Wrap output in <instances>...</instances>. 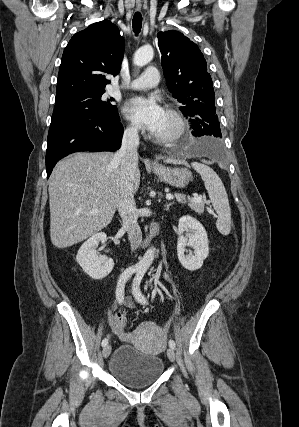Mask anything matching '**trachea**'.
Returning a JSON list of instances; mask_svg holds the SVG:
<instances>
[{
  "instance_id": "3493384b",
  "label": "trachea",
  "mask_w": 299,
  "mask_h": 427,
  "mask_svg": "<svg viewBox=\"0 0 299 427\" xmlns=\"http://www.w3.org/2000/svg\"><path fill=\"white\" fill-rule=\"evenodd\" d=\"M142 27V15L140 12H136L132 20V28L135 35H138Z\"/></svg>"
}]
</instances>
